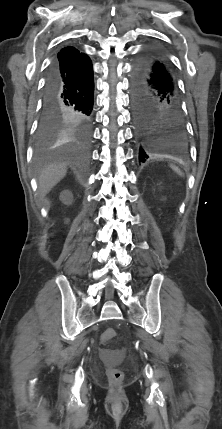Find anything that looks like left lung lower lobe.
<instances>
[{
  "mask_svg": "<svg viewBox=\"0 0 222 429\" xmlns=\"http://www.w3.org/2000/svg\"><path fill=\"white\" fill-rule=\"evenodd\" d=\"M131 92L139 161L184 151L187 139L180 94L173 69L160 51L146 49L137 57Z\"/></svg>",
  "mask_w": 222,
  "mask_h": 429,
  "instance_id": "0a47b994",
  "label": "left lung lower lobe"
}]
</instances>
